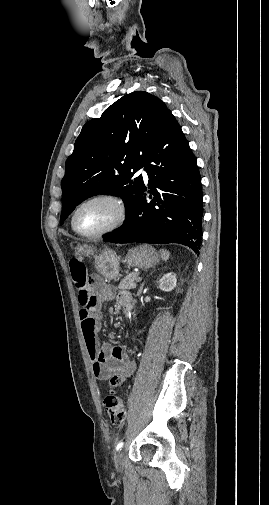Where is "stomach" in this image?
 Wrapping results in <instances>:
<instances>
[{
  "label": "stomach",
  "instance_id": "1",
  "mask_svg": "<svg viewBox=\"0 0 269 505\" xmlns=\"http://www.w3.org/2000/svg\"><path fill=\"white\" fill-rule=\"evenodd\" d=\"M159 260L158 252L145 244L130 249L124 262L132 267L150 268ZM120 262V257L111 249H104L95 256V268L107 280H115L118 277Z\"/></svg>",
  "mask_w": 269,
  "mask_h": 505
}]
</instances>
